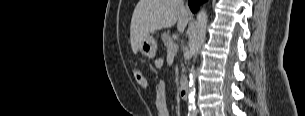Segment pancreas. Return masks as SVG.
I'll use <instances>...</instances> for the list:
<instances>
[{"label": "pancreas", "mask_w": 305, "mask_h": 116, "mask_svg": "<svg viewBox=\"0 0 305 116\" xmlns=\"http://www.w3.org/2000/svg\"><path fill=\"white\" fill-rule=\"evenodd\" d=\"M161 39H162V42L164 43L165 47H166L167 50H168L169 46H170L171 44H173V39L171 38V36L169 35V33H163V34L161 35Z\"/></svg>", "instance_id": "cf45deb5"}]
</instances>
